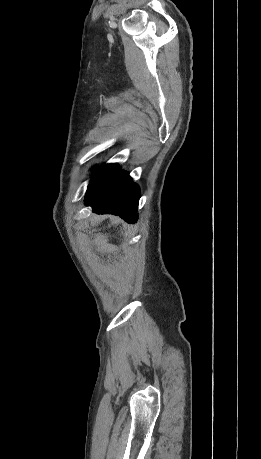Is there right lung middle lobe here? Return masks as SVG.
I'll list each match as a JSON object with an SVG mask.
<instances>
[{
	"label": "right lung middle lobe",
	"instance_id": "obj_1",
	"mask_svg": "<svg viewBox=\"0 0 261 459\" xmlns=\"http://www.w3.org/2000/svg\"><path fill=\"white\" fill-rule=\"evenodd\" d=\"M118 169L119 166L117 164H107L103 169L98 171L88 186L86 198L92 195Z\"/></svg>",
	"mask_w": 261,
	"mask_h": 459
}]
</instances>
